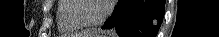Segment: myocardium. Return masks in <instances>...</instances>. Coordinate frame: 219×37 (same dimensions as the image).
I'll return each instance as SVG.
<instances>
[{
	"label": "myocardium",
	"instance_id": "obj_1",
	"mask_svg": "<svg viewBox=\"0 0 219 37\" xmlns=\"http://www.w3.org/2000/svg\"><path fill=\"white\" fill-rule=\"evenodd\" d=\"M81 1H83V0H72L73 6H72L71 11H70V17L78 25H80L82 27H97V26L101 25L102 23H104L111 13V10H112L111 1L107 0V1H104L105 2V10H104L103 14L98 19L93 20V21L85 20V19L81 18L78 14L80 11V8H81V5H80Z\"/></svg>",
	"mask_w": 219,
	"mask_h": 37
}]
</instances>
